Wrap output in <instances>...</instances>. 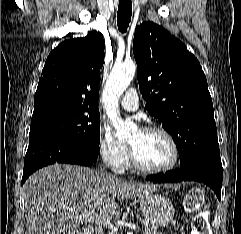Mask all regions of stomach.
<instances>
[{"label":"stomach","instance_id":"stomach-1","mask_svg":"<svg viewBox=\"0 0 241 234\" xmlns=\"http://www.w3.org/2000/svg\"><path fill=\"white\" fill-rule=\"evenodd\" d=\"M140 208L146 221L153 227L169 224L175 214L170 199L160 194H149L139 197Z\"/></svg>","mask_w":241,"mask_h":234}]
</instances>
